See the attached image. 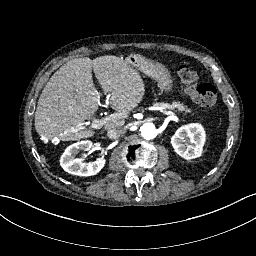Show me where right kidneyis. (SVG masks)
Returning <instances> with one entry per match:
<instances>
[{"label":"right kidney","instance_id":"ca27d5eb","mask_svg":"<svg viewBox=\"0 0 256 256\" xmlns=\"http://www.w3.org/2000/svg\"><path fill=\"white\" fill-rule=\"evenodd\" d=\"M92 147V142L83 140L76 142L66 148L60 158V165L64 171L78 176L96 175L105 165V159L99 158L94 162L83 163L82 159L75 158L79 151H88Z\"/></svg>","mask_w":256,"mask_h":256}]
</instances>
